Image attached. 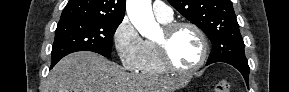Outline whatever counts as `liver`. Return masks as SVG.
<instances>
[{"instance_id": "liver-1", "label": "liver", "mask_w": 289, "mask_h": 92, "mask_svg": "<svg viewBox=\"0 0 289 92\" xmlns=\"http://www.w3.org/2000/svg\"><path fill=\"white\" fill-rule=\"evenodd\" d=\"M187 82L182 78L127 73L97 53L79 51L54 66L43 92H174Z\"/></svg>"}]
</instances>
